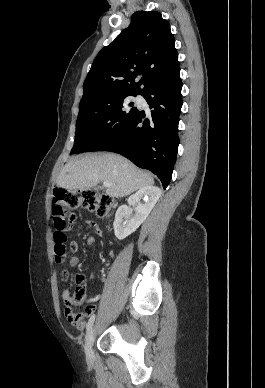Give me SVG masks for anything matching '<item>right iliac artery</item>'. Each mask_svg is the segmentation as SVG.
<instances>
[{
	"label": "right iliac artery",
	"instance_id": "82829eb1",
	"mask_svg": "<svg viewBox=\"0 0 265 388\" xmlns=\"http://www.w3.org/2000/svg\"><path fill=\"white\" fill-rule=\"evenodd\" d=\"M94 320H95V315L93 314L91 317H90V319H89V321H88V323H87V326H86V331H87V333L90 331V329L92 328V326H93V323H94Z\"/></svg>",
	"mask_w": 265,
	"mask_h": 388
}]
</instances>
